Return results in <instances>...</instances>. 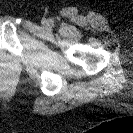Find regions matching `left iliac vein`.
<instances>
[{"instance_id":"obj_1","label":"left iliac vein","mask_w":133,"mask_h":133,"mask_svg":"<svg viewBox=\"0 0 133 133\" xmlns=\"http://www.w3.org/2000/svg\"><path fill=\"white\" fill-rule=\"evenodd\" d=\"M43 24H44L45 26H48V25H49V21H48V20H43Z\"/></svg>"}]
</instances>
